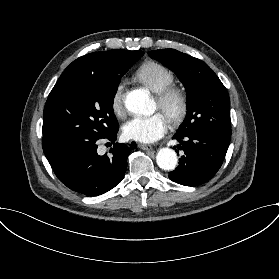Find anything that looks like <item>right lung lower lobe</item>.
Wrapping results in <instances>:
<instances>
[{
    "instance_id": "right-lung-lower-lobe-1",
    "label": "right lung lower lobe",
    "mask_w": 279,
    "mask_h": 279,
    "mask_svg": "<svg viewBox=\"0 0 279 279\" xmlns=\"http://www.w3.org/2000/svg\"><path fill=\"white\" fill-rule=\"evenodd\" d=\"M119 127L106 137L112 143L117 139ZM96 142L68 148L49 159L57 178L68 188L85 196L101 195L118 185L127 168V157L137 146L115 143L112 156L97 153Z\"/></svg>"
}]
</instances>
